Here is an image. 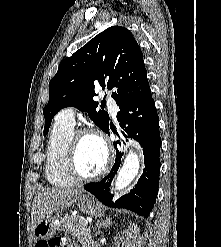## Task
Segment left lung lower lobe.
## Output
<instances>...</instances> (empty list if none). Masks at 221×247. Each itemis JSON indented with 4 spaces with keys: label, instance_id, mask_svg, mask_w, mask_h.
Instances as JSON below:
<instances>
[{
    "label": "left lung lower lobe",
    "instance_id": "obj_1",
    "mask_svg": "<svg viewBox=\"0 0 221 247\" xmlns=\"http://www.w3.org/2000/svg\"><path fill=\"white\" fill-rule=\"evenodd\" d=\"M120 111L117 113V120L120 122V134L127 139L132 137L143 147L145 169L136 186L126 195L118 200H113L108 194L110 182L120 165L122 153L117 148L120 141L114 143L116 148V161L110 173L100 182L89 183L84 189L95 195L103 204L113 208L129 209L147 218L156 201L159 173H160V135L159 118L156 112L152 95L130 100L118 105ZM112 129L108 125L105 133L110 135Z\"/></svg>",
    "mask_w": 221,
    "mask_h": 247
}]
</instances>
